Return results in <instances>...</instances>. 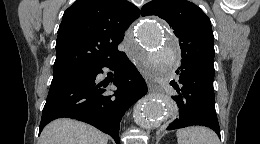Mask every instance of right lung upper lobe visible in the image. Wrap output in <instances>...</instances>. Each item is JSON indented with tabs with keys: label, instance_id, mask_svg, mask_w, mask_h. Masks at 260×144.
<instances>
[{
	"label": "right lung upper lobe",
	"instance_id": "1",
	"mask_svg": "<svg viewBox=\"0 0 260 144\" xmlns=\"http://www.w3.org/2000/svg\"><path fill=\"white\" fill-rule=\"evenodd\" d=\"M139 16V9L127 0H77L63 15L53 71L114 58L124 32Z\"/></svg>",
	"mask_w": 260,
	"mask_h": 144
}]
</instances>
